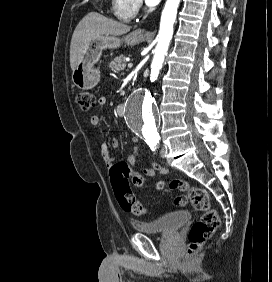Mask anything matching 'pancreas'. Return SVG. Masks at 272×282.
Returning <instances> with one entry per match:
<instances>
[{"label": "pancreas", "mask_w": 272, "mask_h": 282, "mask_svg": "<svg viewBox=\"0 0 272 282\" xmlns=\"http://www.w3.org/2000/svg\"><path fill=\"white\" fill-rule=\"evenodd\" d=\"M109 68L114 72H120L125 69L126 61L125 56L123 54L114 58V60L109 61Z\"/></svg>", "instance_id": "pancreas-1"}]
</instances>
